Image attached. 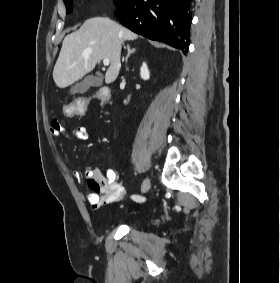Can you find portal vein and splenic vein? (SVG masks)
I'll return each mask as SVG.
<instances>
[{"mask_svg":"<svg viewBox=\"0 0 280 283\" xmlns=\"http://www.w3.org/2000/svg\"><path fill=\"white\" fill-rule=\"evenodd\" d=\"M103 64H104L105 66H108V65L110 64L109 59H103Z\"/></svg>","mask_w":280,"mask_h":283,"instance_id":"1","label":"portal vein and splenic vein"}]
</instances>
